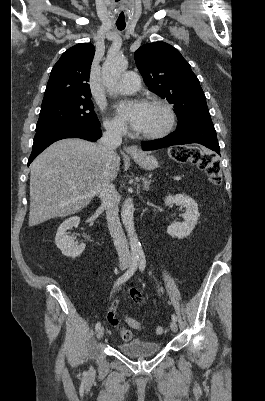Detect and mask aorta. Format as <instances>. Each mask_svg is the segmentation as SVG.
Wrapping results in <instances>:
<instances>
[{
	"instance_id": "762f6f07",
	"label": "aorta",
	"mask_w": 265,
	"mask_h": 401,
	"mask_svg": "<svg viewBox=\"0 0 265 401\" xmlns=\"http://www.w3.org/2000/svg\"><path fill=\"white\" fill-rule=\"evenodd\" d=\"M127 60L125 58H117L110 60L106 58L102 66V76L106 86H113L118 82L122 72L127 68ZM122 223L128 233L131 255H143L141 243L134 229V205L132 198H126L121 209Z\"/></svg>"
}]
</instances>
